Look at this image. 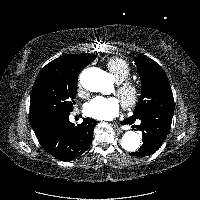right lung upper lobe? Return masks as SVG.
<instances>
[{"label":"right lung upper lobe","instance_id":"cb5924a9","mask_svg":"<svg viewBox=\"0 0 200 200\" xmlns=\"http://www.w3.org/2000/svg\"><path fill=\"white\" fill-rule=\"evenodd\" d=\"M95 58L94 54H69L57 58L40 71L34 86L44 82L78 78L80 71Z\"/></svg>","mask_w":200,"mask_h":200}]
</instances>
